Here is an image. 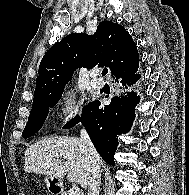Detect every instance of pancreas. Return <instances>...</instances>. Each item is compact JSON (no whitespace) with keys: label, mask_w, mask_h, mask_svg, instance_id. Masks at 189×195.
<instances>
[{"label":"pancreas","mask_w":189,"mask_h":195,"mask_svg":"<svg viewBox=\"0 0 189 195\" xmlns=\"http://www.w3.org/2000/svg\"><path fill=\"white\" fill-rule=\"evenodd\" d=\"M61 195H69V193H68L67 191H63V192L61 193Z\"/></svg>","instance_id":"1"}]
</instances>
